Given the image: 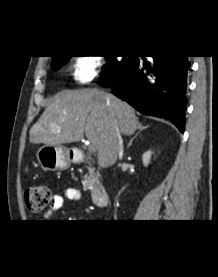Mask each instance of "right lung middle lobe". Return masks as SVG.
<instances>
[{"instance_id":"1","label":"right lung middle lobe","mask_w":218,"mask_h":277,"mask_svg":"<svg viewBox=\"0 0 218 277\" xmlns=\"http://www.w3.org/2000/svg\"><path fill=\"white\" fill-rule=\"evenodd\" d=\"M107 58V66L101 75L100 81L111 84L120 71L129 65L135 57H123L121 60H117L115 56H105ZM71 56H60L52 60L51 66L54 70L65 64Z\"/></svg>"}]
</instances>
